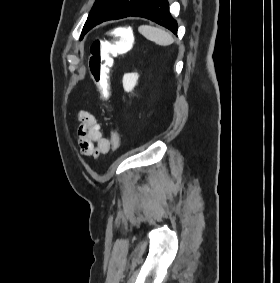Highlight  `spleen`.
Here are the masks:
<instances>
[{"instance_id":"spleen-1","label":"spleen","mask_w":280,"mask_h":283,"mask_svg":"<svg viewBox=\"0 0 280 283\" xmlns=\"http://www.w3.org/2000/svg\"><path fill=\"white\" fill-rule=\"evenodd\" d=\"M138 31L148 40L161 46H168L174 42V39L169 32L157 27L141 25L138 28Z\"/></svg>"}]
</instances>
